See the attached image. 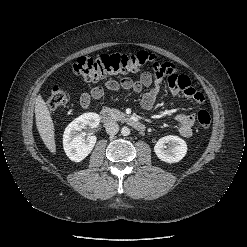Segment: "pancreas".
Masks as SVG:
<instances>
[{
	"mask_svg": "<svg viewBox=\"0 0 247 247\" xmlns=\"http://www.w3.org/2000/svg\"><path fill=\"white\" fill-rule=\"evenodd\" d=\"M112 112H113V117L117 120H120L125 117V114L117 109H114Z\"/></svg>",
	"mask_w": 247,
	"mask_h": 247,
	"instance_id": "obj_1",
	"label": "pancreas"
}]
</instances>
